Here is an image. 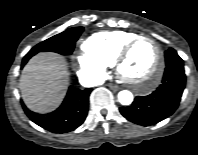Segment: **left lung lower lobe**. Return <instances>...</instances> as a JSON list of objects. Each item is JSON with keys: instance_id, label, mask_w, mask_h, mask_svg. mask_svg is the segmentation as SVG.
<instances>
[{"instance_id": "1", "label": "left lung lower lobe", "mask_w": 198, "mask_h": 155, "mask_svg": "<svg viewBox=\"0 0 198 155\" xmlns=\"http://www.w3.org/2000/svg\"><path fill=\"white\" fill-rule=\"evenodd\" d=\"M185 82L183 63H171L166 66L157 90L148 96H137L130 106L120 107V112L135 124H156L171 116L178 108Z\"/></svg>"}]
</instances>
